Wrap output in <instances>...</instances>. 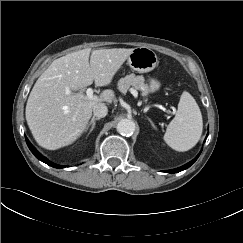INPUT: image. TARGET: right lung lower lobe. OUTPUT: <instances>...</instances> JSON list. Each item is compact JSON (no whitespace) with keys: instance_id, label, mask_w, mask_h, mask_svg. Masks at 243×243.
<instances>
[{"instance_id":"1","label":"right lung lower lobe","mask_w":243,"mask_h":243,"mask_svg":"<svg viewBox=\"0 0 243 243\" xmlns=\"http://www.w3.org/2000/svg\"><path fill=\"white\" fill-rule=\"evenodd\" d=\"M26 139V143L29 147V149L31 150V152L35 155L36 158H38L39 160H41L42 162L48 164L49 166H52L54 168H63L64 166H59V165H55L53 163H51L50 161H48L46 158H44L29 142V140L25 137Z\"/></svg>"}]
</instances>
